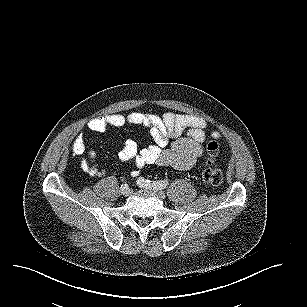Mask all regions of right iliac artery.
Listing matches in <instances>:
<instances>
[{
  "instance_id": "right-iliac-artery-1",
  "label": "right iliac artery",
  "mask_w": 307,
  "mask_h": 307,
  "mask_svg": "<svg viewBox=\"0 0 307 307\" xmlns=\"http://www.w3.org/2000/svg\"><path fill=\"white\" fill-rule=\"evenodd\" d=\"M121 187H128V185H127V184H125V185H122Z\"/></svg>"
}]
</instances>
